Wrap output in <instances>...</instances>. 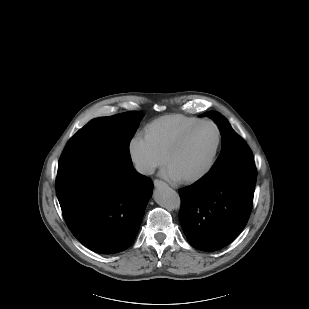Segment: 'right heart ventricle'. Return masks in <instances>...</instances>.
<instances>
[{"label":"right heart ventricle","mask_w":309,"mask_h":309,"mask_svg":"<svg viewBox=\"0 0 309 309\" xmlns=\"http://www.w3.org/2000/svg\"><path fill=\"white\" fill-rule=\"evenodd\" d=\"M200 120L202 119L183 114L164 115L154 119L146 126L144 137L165 158L177 137Z\"/></svg>","instance_id":"right-heart-ventricle-1"}]
</instances>
